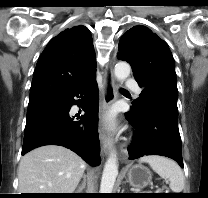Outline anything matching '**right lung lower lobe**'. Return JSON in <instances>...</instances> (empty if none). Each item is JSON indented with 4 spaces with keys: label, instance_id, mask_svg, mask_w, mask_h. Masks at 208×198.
I'll return each instance as SVG.
<instances>
[{
    "label": "right lung lower lobe",
    "instance_id": "98d812e1",
    "mask_svg": "<svg viewBox=\"0 0 208 198\" xmlns=\"http://www.w3.org/2000/svg\"><path fill=\"white\" fill-rule=\"evenodd\" d=\"M74 104L83 105L85 115L77 116L80 121H73L69 114ZM98 105L95 75L67 94L29 103L21 155L40 146L59 145L74 151L92 166L100 165Z\"/></svg>",
    "mask_w": 208,
    "mask_h": 198
}]
</instances>
